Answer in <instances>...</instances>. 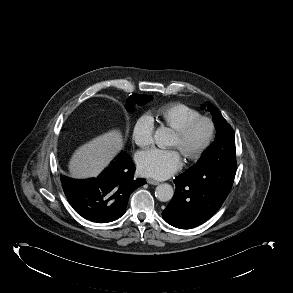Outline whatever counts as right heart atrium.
Returning <instances> with one entry per match:
<instances>
[{
    "mask_svg": "<svg viewBox=\"0 0 293 293\" xmlns=\"http://www.w3.org/2000/svg\"><path fill=\"white\" fill-rule=\"evenodd\" d=\"M154 120L149 114L140 115L132 127V138L139 147H147L153 142Z\"/></svg>",
    "mask_w": 293,
    "mask_h": 293,
    "instance_id": "1",
    "label": "right heart atrium"
}]
</instances>
